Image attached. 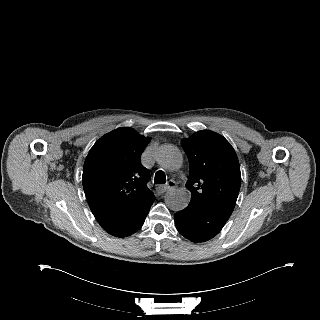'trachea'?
Instances as JSON below:
<instances>
[{
    "label": "trachea",
    "instance_id": "1",
    "mask_svg": "<svg viewBox=\"0 0 320 320\" xmlns=\"http://www.w3.org/2000/svg\"><path fill=\"white\" fill-rule=\"evenodd\" d=\"M166 182L165 173L161 170L157 171L154 178L155 184H164Z\"/></svg>",
    "mask_w": 320,
    "mask_h": 320
}]
</instances>
